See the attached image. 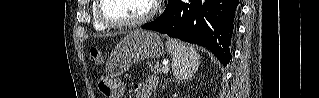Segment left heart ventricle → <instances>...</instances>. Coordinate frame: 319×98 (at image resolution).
<instances>
[{
  "mask_svg": "<svg viewBox=\"0 0 319 98\" xmlns=\"http://www.w3.org/2000/svg\"><path fill=\"white\" fill-rule=\"evenodd\" d=\"M148 9V0H105L102 12L110 20L130 21L140 18Z\"/></svg>",
  "mask_w": 319,
  "mask_h": 98,
  "instance_id": "1",
  "label": "left heart ventricle"
}]
</instances>
